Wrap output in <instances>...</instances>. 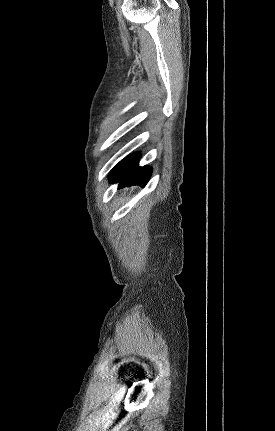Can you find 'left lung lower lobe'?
<instances>
[{"label": "left lung lower lobe", "instance_id": "0a47b994", "mask_svg": "<svg viewBox=\"0 0 275 431\" xmlns=\"http://www.w3.org/2000/svg\"><path fill=\"white\" fill-rule=\"evenodd\" d=\"M140 153L136 152L118 163L109 175L111 183H119L118 188L132 185L145 186L150 179L152 168L139 167Z\"/></svg>", "mask_w": 275, "mask_h": 431}]
</instances>
